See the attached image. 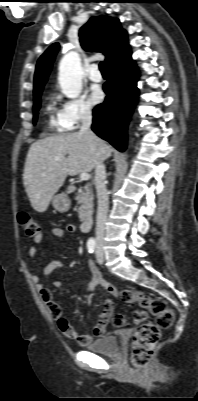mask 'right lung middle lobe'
<instances>
[{"label":"right lung middle lobe","mask_w":198,"mask_h":401,"mask_svg":"<svg viewBox=\"0 0 198 401\" xmlns=\"http://www.w3.org/2000/svg\"><path fill=\"white\" fill-rule=\"evenodd\" d=\"M40 95H41V93H39V94L34 96V107H33V111H34L33 121H34V124L36 123V120H37V114H38L37 111L40 108V103H41Z\"/></svg>","instance_id":"right-lung-middle-lobe-1"}]
</instances>
